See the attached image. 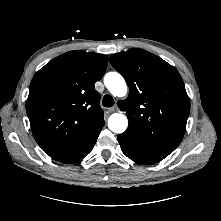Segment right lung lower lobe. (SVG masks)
I'll list each match as a JSON object with an SVG mask.
<instances>
[{
	"label": "right lung lower lobe",
	"instance_id": "right-lung-lower-lobe-1",
	"mask_svg": "<svg viewBox=\"0 0 221 221\" xmlns=\"http://www.w3.org/2000/svg\"><path fill=\"white\" fill-rule=\"evenodd\" d=\"M104 126V119L97 123L85 139L76 147L63 153L52 156V158L61 163L73 164L82 160L93 149L96 140Z\"/></svg>",
	"mask_w": 221,
	"mask_h": 221
}]
</instances>
